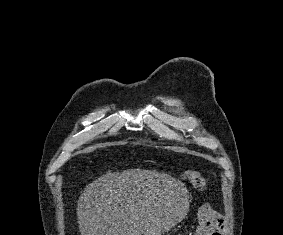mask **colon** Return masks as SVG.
I'll return each mask as SVG.
<instances>
[{
  "label": "colon",
  "instance_id": "5ec220e1",
  "mask_svg": "<svg viewBox=\"0 0 283 235\" xmlns=\"http://www.w3.org/2000/svg\"><path fill=\"white\" fill-rule=\"evenodd\" d=\"M184 177L189 181L197 190H204L206 187V180L204 176L194 169H188L184 173Z\"/></svg>",
  "mask_w": 283,
  "mask_h": 235
}]
</instances>
